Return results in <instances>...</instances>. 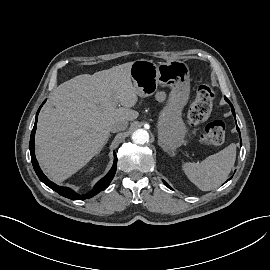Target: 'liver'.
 <instances>
[{"label":"liver","mask_w":270,"mask_h":270,"mask_svg":"<svg viewBox=\"0 0 270 270\" xmlns=\"http://www.w3.org/2000/svg\"><path fill=\"white\" fill-rule=\"evenodd\" d=\"M131 66L78 75L53 91L35 136L37 160L50 179L62 182L72 176L101 151L114 122L139 116L131 109L138 101Z\"/></svg>","instance_id":"1"}]
</instances>
